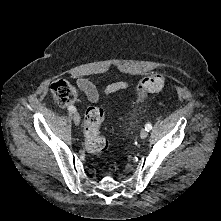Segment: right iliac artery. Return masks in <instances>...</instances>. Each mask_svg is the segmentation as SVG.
<instances>
[{
	"instance_id": "1",
	"label": "right iliac artery",
	"mask_w": 221,
	"mask_h": 221,
	"mask_svg": "<svg viewBox=\"0 0 221 221\" xmlns=\"http://www.w3.org/2000/svg\"><path fill=\"white\" fill-rule=\"evenodd\" d=\"M68 110H69V112H71V113L76 112V108H75L74 106H72V105L68 107Z\"/></svg>"
}]
</instances>
